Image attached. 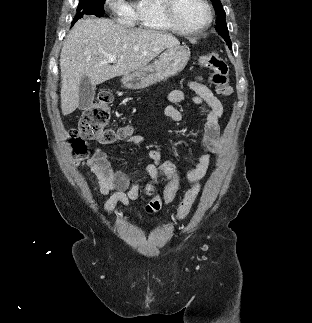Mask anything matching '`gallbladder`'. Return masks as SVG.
Wrapping results in <instances>:
<instances>
[{
    "label": "gallbladder",
    "instance_id": "bac80fb5",
    "mask_svg": "<svg viewBox=\"0 0 312 323\" xmlns=\"http://www.w3.org/2000/svg\"><path fill=\"white\" fill-rule=\"evenodd\" d=\"M95 96V88L87 76H82L79 84V110L89 108Z\"/></svg>",
    "mask_w": 312,
    "mask_h": 323
}]
</instances>
